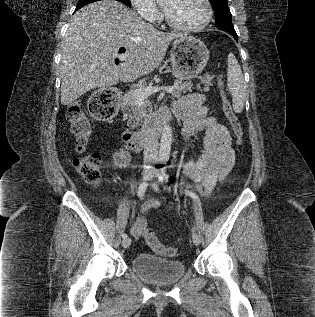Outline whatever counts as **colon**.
I'll list each match as a JSON object with an SVG mask.
<instances>
[{
    "label": "colon",
    "instance_id": "obj_1",
    "mask_svg": "<svg viewBox=\"0 0 315 317\" xmlns=\"http://www.w3.org/2000/svg\"><path fill=\"white\" fill-rule=\"evenodd\" d=\"M223 110L233 129L237 144L243 142V128L232 105L224 92L222 78H219ZM117 110V93L113 89H102L95 92L89 101L90 114L97 120L105 121L112 118ZM67 121L70 124L78 152H82L87 145L91 134L90 122L79 104L71 105L66 113ZM74 166L83 179L90 185L97 186L101 181V158L98 154L92 153L74 160ZM148 246L157 254L174 257L178 255V249L162 244L154 230L146 229L144 233Z\"/></svg>",
    "mask_w": 315,
    "mask_h": 317
}]
</instances>
